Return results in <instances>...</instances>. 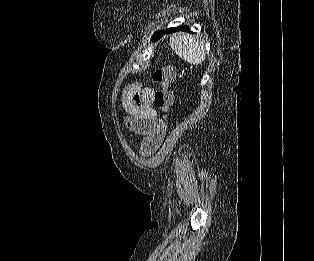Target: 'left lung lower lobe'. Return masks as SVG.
Here are the masks:
<instances>
[{
  "label": "left lung lower lobe",
  "mask_w": 314,
  "mask_h": 261,
  "mask_svg": "<svg viewBox=\"0 0 314 261\" xmlns=\"http://www.w3.org/2000/svg\"><path fill=\"white\" fill-rule=\"evenodd\" d=\"M175 31H187V32H191L189 30V28L187 26H179V27H176V28H170V29H167L163 32H157L154 36H153V40H158L163 34L165 33H171V32H175Z\"/></svg>",
  "instance_id": "1"
}]
</instances>
